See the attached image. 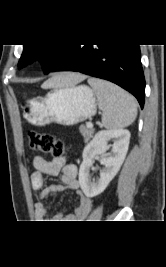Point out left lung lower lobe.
I'll return each instance as SVG.
<instances>
[{
  "instance_id": "left-lung-lower-lobe-1",
  "label": "left lung lower lobe",
  "mask_w": 166,
  "mask_h": 267,
  "mask_svg": "<svg viewBox=\"0 0 166 267\" xmlns=\"http://www.w3.org/2000/svg\"><path fill=\"white\" fill-rule=\"evenodd\" d=\"M55 71H76L111 81L144 106L145 79L139 45L68 44L49 72Z\"/></svg>"
}]
</instances>
